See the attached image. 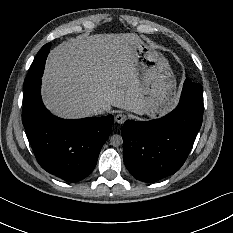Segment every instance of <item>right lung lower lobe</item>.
Wrapping results in <instances>:
<instances>
[{
  "label": "right lung lower lobe",
  "mask_w": 233,
  "mask_h": 233,
  "mask_svg": "<svg viewBox=\"0 0 233 233\" xmlns=\"http://www.w3.org/2000/svg\"><path fill=\"white\" fill-rule=\"evenodd\" d=\"M49 48L45 50L46 58ZM40 87L41 78L23 94L22 122L35 157L50 174L68 182L80 181L96 166L111 133L113 116L60 119L43 105Z\"/></svg>",
  "instance_id": "obj_1"
}]
</instances>
